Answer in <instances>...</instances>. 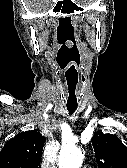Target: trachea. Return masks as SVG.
<instances>
[{"mask_svg": "<svg viewBox=\"0 0 127 168\" xmlns=\"http://www.w3.org/2000/svg\"><path fill=\"white\" fill-rule=\"evenodd\" d=\"M77 109V106H67L68 112L72 115Z\"/></svg>", "mask_w": 127, "mask_h": 168, "instance_id": "1", "label": "trachea"}]
</instances>
